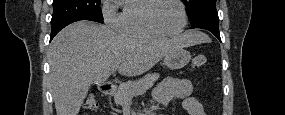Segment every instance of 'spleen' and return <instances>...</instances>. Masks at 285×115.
Masks as SVG:
<instances>
[{"mask_svg": "<svg viewBox=\"0 0 285 115\" xmlns=\"http://www.w3.org/2000/svg\"><path fill=\"white\" fill-rule=\"evenodd\" d=\"M199 36H200V40L203 42H206L208 40V37L203 33L199 32Z\"/></svg>", "mask_w": 285, "mask_h": 115, "instance_id": "3e777b00", "label": "spleen"}]
</instances>
